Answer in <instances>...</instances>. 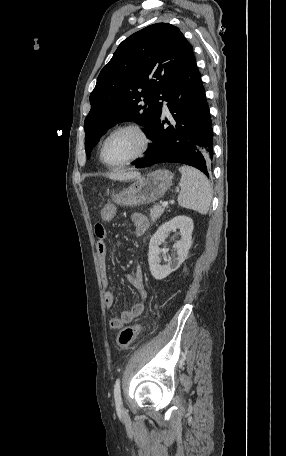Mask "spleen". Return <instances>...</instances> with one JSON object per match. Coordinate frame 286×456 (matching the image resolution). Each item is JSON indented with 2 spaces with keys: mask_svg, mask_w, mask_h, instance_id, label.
I'll list each match as a JSON object with an SVG mask.
<instances>
[{
  "mask_svg": "<svg viewBox=\"0 0 286 456\" xmlns=\"http://www.w3.org/2000/svg\"><path fill=\"white\" fill-rule=\"evenodd\" d=\"M178 204L181 207L192 209L205 215L212 200V189L206 176L199 170L182 166Z\"/></svg>",
  "mask_w": 286,
  "mask_h": 456,
  "instance_id": "obj_1",
  "label": "spleen"
}]
</instances>
